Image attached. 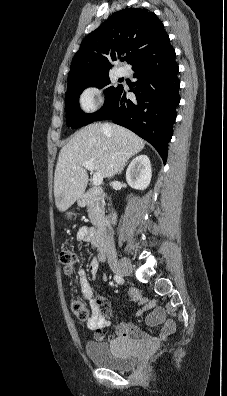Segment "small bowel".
Here are the masks:
<instances>
[{
	"instance_id": "c3829d8e",
	"label": "small bowel",
	"mask_w": 227,
	"mask_h": 396,
	"mask_svg": "<svg viewBox=\"0 0 227 396\" xmlns=\"http://www.w3.org/2000/svg\"><path fill=\"white\" fill-rule=\"evenodd\" d=\"M93 233L94 230L92 228L84 226L79 229L78 238L98 248L93 241ZM104 260L105 255L103 252H100L98 257L91 259L88 265V271L92 279H95L99 264ZM78 277L82 297L91 300L93 297V289L86 271L80 270ZM130 299L133 302L139 303L142 306V310H151L147 317V323L149 325L163 323L161 332L158 336H150L132 322H123L117 326L115 334L110 340L113 343H133L148 350L157 348L174 333L175 323L172 320H166L164 310L160 307H156L155 301L142 298L137 290L134 289L130 292ZM93 308V314L87 322V327L94 331L95 340L100 342L106 341L107 336L104 330L111 324L109 319L112 315L110 305L104 298L97 297L95 301H93Z\"/></svg>"
}]
</instances>
